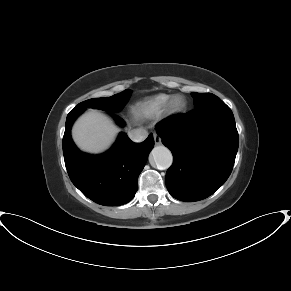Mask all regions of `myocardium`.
Wrapping results in <instances>:
<instances>
[{"label": "myocardium", "mask_w": 291, "mask_h": 291, "mask_svg": "<svg viewBox=\"0 0 291 291\" xmlns=\"http://www.w3.org/2000/svg\"><path fill=\"white\" fill-rule=\"evenodd\" d=\"M186 109V102L181 96L173 98L166 108L168 116H178L182 114Z\"/></svg>", "instance_id": "f54148a6"}]
</instances>
